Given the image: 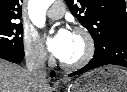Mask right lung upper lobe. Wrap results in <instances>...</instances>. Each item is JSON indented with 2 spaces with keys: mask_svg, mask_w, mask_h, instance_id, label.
<instances>
[{
  "mask_svg": "<svg viewBox=\"0 0 127 92\" xmlns=\"http://www.w3.org/2000/svg\"><path fill=\"white\" fill-rule=\"evenodd\" d=\"M23 0H0V25L11 24L21 17Z\"/></svg>",
  "mask_w": 127,
  "mask_h": 92,
  "instance_id": "right-lung-upper-lobe-1",
  "label": "right lung upper lobe"
}]
</instances>
